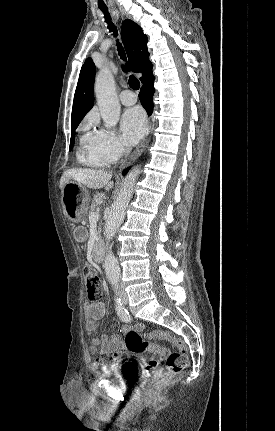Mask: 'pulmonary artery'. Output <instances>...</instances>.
<instances>
[{
	"mask_svg": "<svg viewBox=\"0 0 275 431\" xmlns=\"http://www.w3.org/2000/svg\"><path fill=\"white\" fill-rule=\"evenodd\" d=\"M120 101L123 105L130 106L136 103L137 98L130 90H124L120 93Z\"/></svg>",
	"mask_w": 275,
	"mask_h": 431,
	"instance_id": "e3ab8cb5",
	"label": "pulmonary artery"
}]
</instances>
